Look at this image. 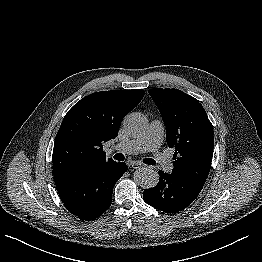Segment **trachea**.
<instances>
[{"label":"trachea","instance_id":"1","mask_svg":"<svg viewBox=\"0 0 262 262\" xmlns=\"http://www.w3.org/2000/svg\"><path fill=\"white\" fill-rule=\"evenodd\" d=\"M113 158L115 160H118V161H123L125 159L124 155L121 154V153L115 154ZM143 162L145 164H148V165H155L156 164L155 160H153L152 158H145V159H143Z\"/></svg>","mask_w":262,"mask_h":262}]
</instances>
